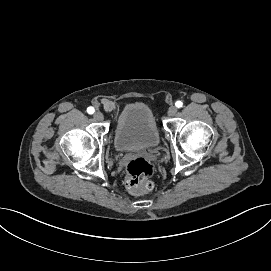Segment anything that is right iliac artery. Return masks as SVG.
<instances>
[{"mask_svg":"<svg viewBox=\"0 0 271 271\" xmlns=\"http://www.w3.org/2000/svg\"><path fill=\"white\" fill-rule=\"evenodd\" d=\"M94 108L93 107H88L87 108V112L89 113V114H93L94 113Z\"/></svg>","mask_w":271,"mask_h":271,"instance_id":"obj_1","label":"right iliac artery"}]
</instances>
